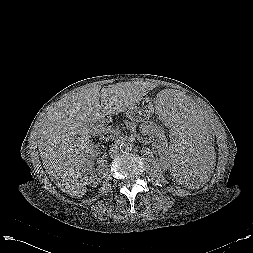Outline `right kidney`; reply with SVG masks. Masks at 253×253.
I'll list each match as a JSON object with an SVG mask.
<instances>
[{
	"label": "right kidney",
	"instance_id": "right-kidney-1",
	"mask_svg": "<svg viewBox=\"0 0 253 253\" xmlns=\"http://www.w3.org/2000/svg\"><path fill=\"white\" fill-rule=\"evenodd\" d=\"M96 154V148L93 144H89L88 147V155H87V159L85 162V176H86V181L92 186V187H96L100 181V178L97 177L96 174L93 173V169H94V161H93V157Z\"/></svg>",
	"mask_w": 253,
	"mask_h": 253
}]
</instances>
